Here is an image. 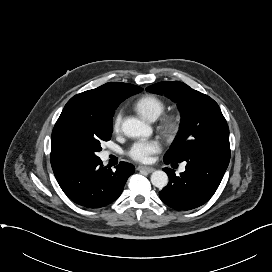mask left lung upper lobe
<instances>
[{
    "label": "left lung upper lobe",
    "instance_id": "1",
    "mask_svg": "<svg viewBox=\"0 0 272 272\" xmlns=\"http://www.w3.org/2000/svg\"><path fill=\"white\" fill-rule=\"evenodd\" d=\"M146 90L164 94L181 113L180 131L164 160L182 162L205 152H230L229 128L212 98L182 82L163 81Z\"/></svg>",
    "mask_w": 272,
    "mask_h": 272
}]
</instances>
